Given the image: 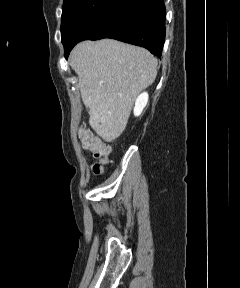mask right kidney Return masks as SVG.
<instances>
[{
	"label": "right kidney",
	"instance_id": "ca27d5eb",
	"mask_svg": "<svg viewBox=\"0 0 240 288\" xmlns=\"http://www.w3.org/2000/svg\"><path fill=\"white\" fill-rule=\"evenodd\" d=\"M148 94L146 92L140 94L135 102V107H134V115L139 116L141 115L143 109L146 107L148 103Z\"/></svg>",
	"mask_w": 240,
	"mask_h": 288
}]
</instances>
